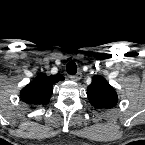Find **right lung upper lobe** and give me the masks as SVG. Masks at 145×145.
<instances>
[{"mask_svg": "<svg viewBox=\"0 0 145 145\" xmlns=\"http://www.w3.org/2000/svg\"><path fill=\"white\" fill-rule=\"evenodd\" d=\"M63 79L62 75L40 74L21 90L20 98L29 104L45 105L50 100L53 84Z\"/></svg>", "mask_w": 145, "mask_h": 145, "instance_id": "obj_1", "label": "right lung upper lobe"}]
</instances>
